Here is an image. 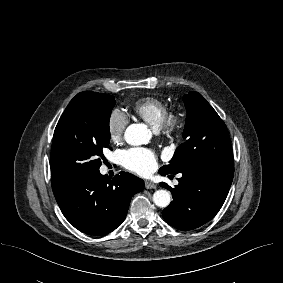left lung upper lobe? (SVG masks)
<instances>
[{
	"label": "left lung upper lobe",
	"mask_w": 283,
	"mask_h": 283,
	"mask_svg": "<svg viewBox=\"0 0 283 283\" xmlns=\"http://www.w3.org/2000/svg\"><path fill=\"white\" fill-rule=\"evenodd\" d=\"M187 109L179 145L170 160L159 171L177 174L195 168L221 169L233 165V151L227 127L212 106L197 92L184 96Z\"/></svg>",
	"instance_id": "left-lung-upper-lobe-1"
}]
</instances>
